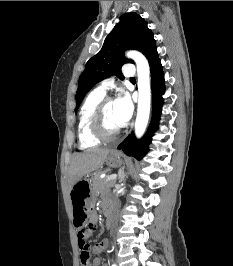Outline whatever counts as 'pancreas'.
<instances>
[{"label": "pancreas", "mask_w": 233, "mask_h": 266, "mask_svg": "<svg viewBox=\"0 0 233 266\" xmlns=\"http://www.w3.org/2000/svg\"><path fill=\"white\" fill-rule=\"evenodd\" d=\"M115 184V181H107V177L105 178H100V174L97 173L95 174L92 179H91V185L93 190L97 193L100 194L103 192L106 188L113 187Z\"/></svg>", "instance_id": "pancreas-1"}]
</instances>
